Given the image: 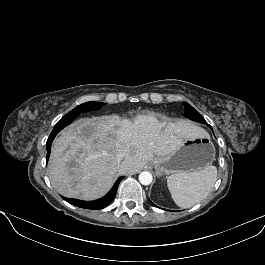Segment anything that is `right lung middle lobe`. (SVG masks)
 Masks as SVG:
<instances>
[{
	"label": "right lung middle lobe",
	"mask_w": 265,
	"mask_h": 265,
	"mask_svg": "<svg viewBox=\"0 0 265 265\" xmlns=\"http://www.w3.org/2000/svg\"><path fill=\"white\" fill-rule=\"evenodd\" d=\"M106 105V103L102 102H86L83 103L76 108H74L72 111L67 113L65 116L61 118V120L55 125V126H62V125H67L71 123L79 114L88 112V111H93V110H98L101 107ZM54 126V127H55Z\"/></svg>",
	"instance_id": "dd1d6c3e"
}]
</instances>
